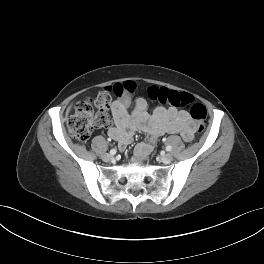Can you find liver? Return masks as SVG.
Segmentation results:
<instances>
[{
    "instance_id": "obj_1",
    "label": "liver",
    "mask_w": 264,
    "mask_h": 264,
    "mask_svg": "<svg viewBox=\"0 0 264 264\" xmlns=\"http://www.w3.org/2000/svg\"><path fill=\"white\" fill-rule=\"evenodd\" d=\"M71 106L68 107L66 114L69 113Z\"/></svg>"
}]
</instances>
